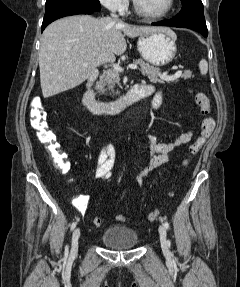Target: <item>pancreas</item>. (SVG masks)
Masks as SVG:
<instances>
[{"label": "pancreas", "mask_w": 240, "mask_h": 287, "mask_svg": "<svg viewBox=\"0 0 240 287\" xmlns=\"http://www.w3.org/2000/svg\"><path fill=\"white\" fill-rule=\"evenodd\" d=\"M134 63L141 67V72L144 76H147L150 82L152 83H161L164 84L168 80H164L160 77V69L154 66H151L149 63H146L143 59L134 60ZM181 77L184 79H189L192 77L191 71H185L181 74ZM120 77L119 71L108 70L103 73L100 77V81L97 83V89L100 93H105L107 90L114 91V87L119 84Z\"/></svg>", "instance_id": "cf45deb5"}]
</instances>
